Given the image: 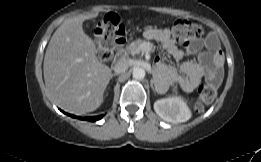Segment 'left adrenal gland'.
<instances>
[{
	"mask_svg": "<svg viewBox=\"0 0 261 162\" xmlns=\"http://www.w3.org/2000/svg\"><path fill=\"white\" fill-rule=\"evenodd\" d=\"M151 87H152V89L154 90V87H153V81H151Z\"/></svg>",
	"mask_w": 261,
	"mask_h": 162,
	"instance_id": "obj_1",
	"label": "left adrenal gland"
}]
</instances>
